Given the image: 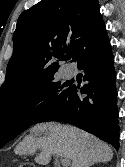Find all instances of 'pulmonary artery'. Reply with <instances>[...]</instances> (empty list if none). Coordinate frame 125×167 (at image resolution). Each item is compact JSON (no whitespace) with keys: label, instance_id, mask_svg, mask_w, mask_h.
Segmentation results:
<instances>
[{"label":"pulmonary artery","instance_id":"obj_1","mask_svg":"<svg viewBox=\"0 0 125 167\" xmlns=\"http://www.w3.org/2000/svg\"><path fill=\"white\" fill-rule=\"evenodd\" d=\"M73 75V71H66L64 74L65 78H70Z\"/></svg>","mask_w":125,"mask_h":167}]
</instances>
